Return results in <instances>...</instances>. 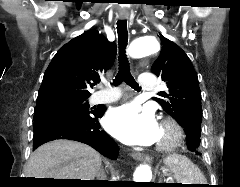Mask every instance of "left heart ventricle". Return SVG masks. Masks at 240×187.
Wrapping results in <instances>:
<instances>
[{"mask_svg": "<svg viewBox=\"0 0 240 187\" xmlns=\"http://www.w3.org/2000/svg\"><path fill=\"white\" fill-rule=\"evenodd\" d=\"M163 137H164V133H163V131L161 130V131H160V136H159L158 142H159L160 140H162Z\"/></svg>", "mask_w": 240, "mask_h": 187, "instance_id": "left-heart-ventricle-1", "label": "left heart ventricle"}]
</instances>
